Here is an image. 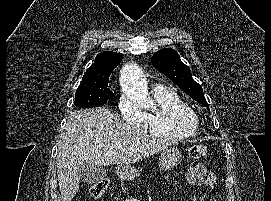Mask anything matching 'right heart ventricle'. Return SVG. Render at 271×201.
<instances>
[{"label": "right heart ventricle", "instance_id": "obj_1", "mask_svg": "<svg viewBox=\"0 0 271 201\" xmlns=\"http://www.w3.org/2000/svg\"><path fill=\"white\" fill-rule=\"evenodd\" d=\"M153 98L155 105L145 113L144 123V128L151 136L180 139L197 134V115L174 90L166 86H156Z\"/></svg>", "mask_w": 271, "mask_h": 201}]
</instances>
